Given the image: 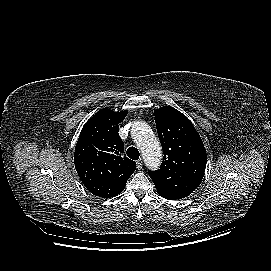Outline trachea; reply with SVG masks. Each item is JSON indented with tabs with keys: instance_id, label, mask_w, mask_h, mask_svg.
I'll list each match as a JSON object with an SVG mask.
<instances>
[{
	"instance_id": "trachea-1",
	"label": "trachea",
	"mask_w": 271,
	"mask_h": 271,
	"mask_svg": "<svg viewBox=\"0 0 271 271\" xmlns=\"http://www.w3.org/2000/svg\"><path fill=\"white\" fill-rule=\"evenodd\" d=\"M126 153H127V156L131 158L132 160H138L140 157L139 150L133 146L129 147Z\"/></svg>"
}]
</instances>
